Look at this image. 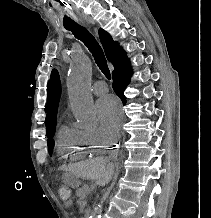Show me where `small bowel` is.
Masks as SVG:
<instances>
[{"label": "small bowel", "instance_id": "1", "mask_svg": "<svg viewBox=\"0 0 211 218\" xmlns=\"http://www.w3.org/2000/svg\"><path fill=\"white\" fill-rule=\"evenodd\" d=\"M72 201L71 200H69V201H67V202H65V205H66V207H71L72 206Z\"/></svg>", "mask_w": 211, "mask_h": 218}]
</instances>
